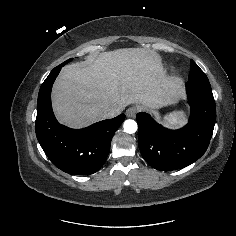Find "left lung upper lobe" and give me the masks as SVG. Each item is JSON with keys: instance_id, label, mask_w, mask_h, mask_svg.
Instances as JSON below:
<instances>
[{"instance_id": "5c2ea615", "label": "left lung upper lobe", "mask_w": 236, "mask_h": 236, "mask_svg": "<svg viewBox=\"0 0 236 236\" xmlns=\"http://www.w3.org/2000/svg\"><path fill=\"white\" fill-rule=\"evenodd\" d=\"M195 79H207L206 74L199 68V66L191 60V72L189 74V80Z\"/></svg>"}]
</instances>
